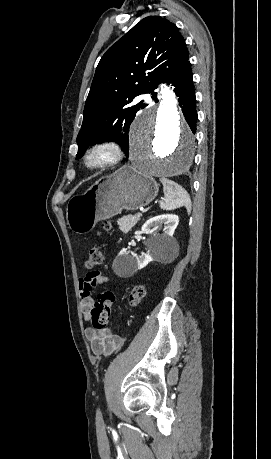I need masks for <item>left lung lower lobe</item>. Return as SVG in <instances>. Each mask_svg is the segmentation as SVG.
Listing matches in <instances>:
<instances>
[{
	"label": "left lung lower lobe",
	"instance_id": "obj_1",
	"mask_svg": "<svg viewBox=\"0 0 271 459\" xmlns=\"http://www.w3.org/2000/svg\"><path fill=\"white\" fill-rule=\"evenodd\" d=\"M163 83L174 86V92L179 97V105L182 108L184 117L193 133H196L197 111L196 97L193 84V73L189 59L185 61L175 72H173ZM152 99L158 101L154 90ZM142 108L144 106L142 105Z\"/></svg>",
	"mask_w": 271,
	"mask_h": 459
}]
</instances>
